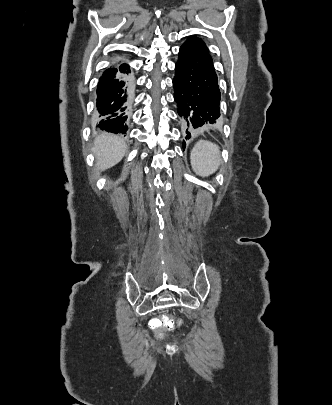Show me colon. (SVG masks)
<instances>
[{"mask_svg":"<svg viewBox=\"0 0 332 405\" xmlns=\"http://www.w3.org/2000/svg\"><path fill=\"white\" fill-rule=\"evenodd\" d=\"M183 320L186 321L187 319L184 318ZM152 322L156 324L155 329L159 333L174 329L173 321L168 317H164L163 315H154L152 317Z\"/></svg>","mask_w":332,"mask_h":405,"instance_id":"1","label":"colon"}]
</instances>
